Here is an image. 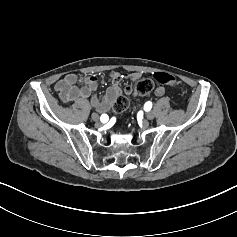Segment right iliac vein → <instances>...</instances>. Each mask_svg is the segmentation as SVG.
Returning a JSON list of instances; mask_svg holds the SVG:
<instances>
[{
	"instance_id": "1",
	"label": "right iliac vein",
	"mask_w": 237,
	"mask_h": 237,
	"mask_svg": "<svg viewBox=\"0 0 237 237\" xmlns=\"http://www.w3.org/2000/svg\"><path fill=\"white\" fill-rule=\"evenodd\" d=\"M92 119H93L94 121H96V122H97V124H100V122H99V116H98V114H96V113H93V114H92Z\"/></svg>"
}]
</instances>
